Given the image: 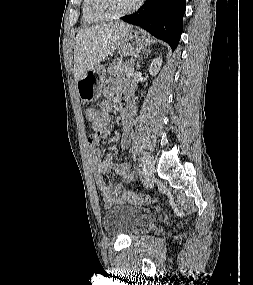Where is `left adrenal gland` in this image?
I'll return each mask as SVG.
<instances>
[{
  "label": "left adrenal gland",
  "mask_w": 253,
  "mask_h": 285,
  "mask_svg": "<svg viewBox=\"0 0 253 285\" xmlns=\"http://www.w3.org/2000/svg\"><path fill=\"white\" fill-rule=\"evenodd\" d=\"M149 53H151V50H150V49L145 50V51L143 52V56L145 57V55H148ZM143 56H142L141 58H143ZM139 67H140V61L137 62V69H139Z\"/></svg>",
  "instance_id": "obj_1"
}]
</instances>
